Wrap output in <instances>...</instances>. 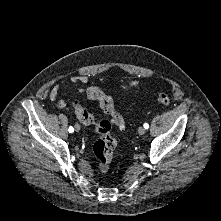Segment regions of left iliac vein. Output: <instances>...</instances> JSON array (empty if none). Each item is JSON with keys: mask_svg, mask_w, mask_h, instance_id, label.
Listing matches in <instances>:
<instances>
[{"mask_svg": "<svg viewBox=\"0 0 221 221\" xmlns=\"http://www.w3.org/2000/svg\"><path fill=\"white\" fill-rule=\"evenodd\" d=\"M145 132H146V129H145L144 127H139V128H138V133H139L140 135H143Z\"/></svg>", "mask_w": 221, "mask_h": 221, "instance_id": "1", "label": "left iliac vein"}]
</instances>
